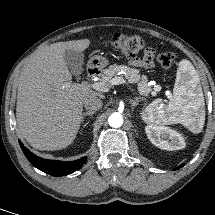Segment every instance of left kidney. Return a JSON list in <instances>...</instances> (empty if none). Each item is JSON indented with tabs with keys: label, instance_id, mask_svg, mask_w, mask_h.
<instances>
[{
	"label": "left kidney",
	"instance_id": "1",
	"mask_svg": "<svg viewBox=\"0 0 215 215\" xmlns=\"http://www.w3.org/2000/svg\"><path fill=\"white\" fill-rule=\"evenodd\" d=\"M148 139L152 144L163 150H180L185 147L183 136L165 126L149 125L145 128Z\"/></svg>",
	"mask_w": 215,
	"mask_h": 215
}]
</instances>
